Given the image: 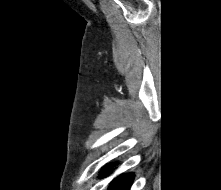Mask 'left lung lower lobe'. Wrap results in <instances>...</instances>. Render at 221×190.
<instances>
[{
	"instance_id": "left-lung-lower-lobe-1",
	"label": "left lung lower lobe",
	"mask_w": 221,
	"mask_h": 190,
	"mask_svg": "<svg viewBox=\"0 0 221 190\" xmlns=\"http://www.w3.org/2000/svg\"><path fill=\"white\" fill-rule=\"evenodd\" d=\"M113 165H107L101 170L99 177L106 176L112 170ZM134 175L132 173L122 174L118 176L113 182L109 190H128L133 182Z\"/></svg>"
}]
</instances>
